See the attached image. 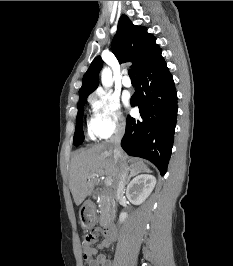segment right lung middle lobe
I'll return each mask as SVG.
<instances>
[{"instance_id":"obj_1","label":"right lung middle lobe","mask_w":233,"mask_h":266,"mask_svg":"<svg viewBox=\"0 0 233 266\" xmlns=\"http://www.w3.org/2000/svg\"><path fill=\"white\" fill-rule=\"evenodd\" d=\"M85 101L86 98H82L79 99L78 102V114H77L76 129L74 134V145L76 146L80 145L84 140L82 121H83V110H84Z\"/></svg>"}]
</instances>
